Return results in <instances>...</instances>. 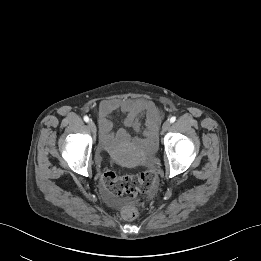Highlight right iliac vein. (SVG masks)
<instances>
[{
  "label": "right iliac vein",
  "mask_w": 261,
  "mask_h": 261,
  "mask_svg": "<svg viewBox=\"0 0 261 261\" xmlns=\"http://www.w3.org/2000/svg\"><path fill=\"white\" fill-rule=\"evenodd\" d=\"M88 127H89V129L91 130L92 133H96V125L92 120L89 121Z\"/></svg>",
  "instance_id": "obj_1"
}]
</instances>
